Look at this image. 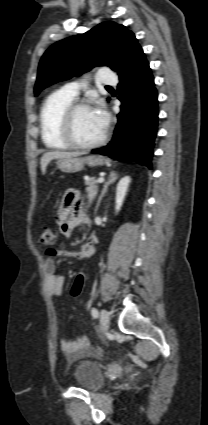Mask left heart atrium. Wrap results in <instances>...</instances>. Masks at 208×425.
I'll return each mask as SVG.
<instances>
[{"label":"left heart atrium","mask_w":208,"mask_h":425,"mask_svg":"<svg viewBox=\"0 0 208 425\" xmlns=\"http://www.w3.org/2000/svg\"><path fill=\"white\" fill-rule=\"evenodd\" d=\"M94 112H95L96 116L98 117L102 126L106 127L107 115H106L105 111L101 107H99V108L95 109Z\"/></svg>","instance_id":"left-heart-atrium-1"}]
</instances>
